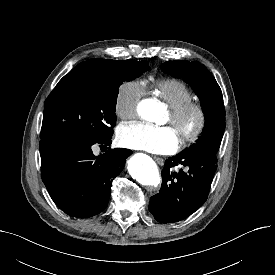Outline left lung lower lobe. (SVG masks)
Segmentation results:
<instances>
[{"label":"left lung lower lobe","instance_id":"1","mask_svg":"<svg viewBox=\"0 0 275 275\" xmlns=\"http://www.w3.org/2000/svg\"><path fill=\"white\" fill-rule=\"evenodd\" d=\"M175 166L185 169L175 171ZM217 168L216 153H180L165 161L162 186L150 198L149 211L161 223L185 219L206 201Z\"/></svg>","mask_w":275,"mask_h":275}]
</instances>
